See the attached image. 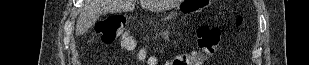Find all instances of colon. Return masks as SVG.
I'll use <instances>...</instances> for the list:
<instances>
[{
  "label": "colon",
  "mask_w": 309,
  "mask_h": 65,
  "mask_svg": "<svg viewBox=\"0 0 309 65\" xmlns=\"http://www.w3.org/2000/svg\"><path fill=\"white\" fill-rule=\"evenodd\" d=\"M237 23H242L241 17L237 19ZM127 25V16L112 14L97 22L95 33L100 36L101 41L106 45L120 40L121 46L124 49L133 50L136 47L134 40L124 35ZM220 38L221 32L218 27L200 25L196 32L197 49L174 57L167 65H201L208 56L216 51ZM139 56L144 57L142 51H139Z\"/></svg>",
  "instance_id": "colon-1"
}]
</instances>
